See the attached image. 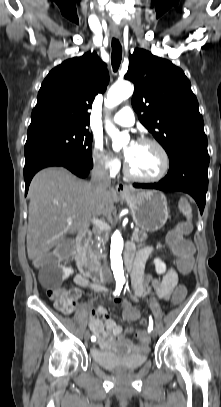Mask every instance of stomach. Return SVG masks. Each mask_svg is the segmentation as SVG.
I'll return each mask as SVG.
<instances>
[{"mask_svg": "<svg viewBox=\"0 0 221 407\" xmlns=\"http://www.w3.org/2000/svg\"><path fill=\"white\" fill-rule=\"evenodd\" d=\"M122 198L131 208L133 220L139 228L147 232L161 229L169 211L165 195L157 190H130Z\"/></svg>", "mask_w": 221, "mask_h": 407, "instance_id": "0dacf381", "label": "stomach"}]
</instances>
